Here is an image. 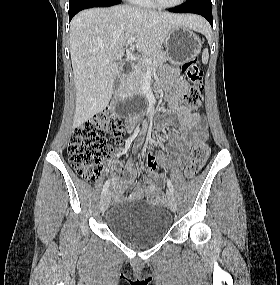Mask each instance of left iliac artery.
Here are the masks:
<instances>
[{
    "mask_svg": "<svg viewBox=\"0 0 280 285\" xmlns=\"http://www.w3.org/2000/svg\"><path fill=\"white\" fill-rule=\"evenodd\" d=\"M167 186H168L169 191L173 194L174 193L173 184L169 179H167Z\"/></svg>",
    "mask_w": 280,
    "mask_h": 285,
    "instance_id": "obj_1",
    "label": "left iliac artery"
}]
</instances>
